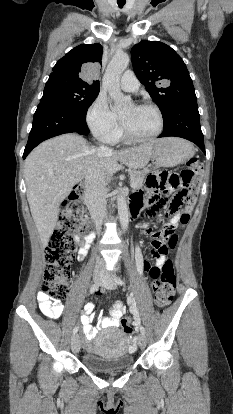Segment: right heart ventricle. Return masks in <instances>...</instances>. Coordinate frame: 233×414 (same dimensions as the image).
Masks as SVG:
<instances>
[{
    "instance_id": "e07e8e85",
    "label": "right heart ventricle",
    "mask_w": 233,
    "mask_h": 414,
    "mask_svg": "<svg viewBox=\"0 0 233 414\" xmlns=\"http://www.w3.org/2000/svg\"><path fill=\"white\" fill-rule=\"evenodd\" d=\"M125 140H126L125 136L123 135L122 131L119 129L113 143H116V142H119V141H125Z\"/></svg>"
}]
</instances>
